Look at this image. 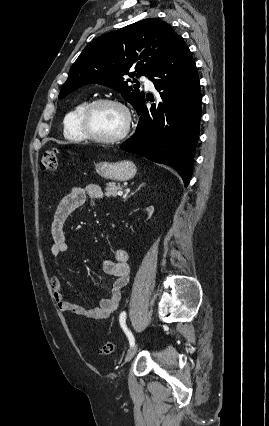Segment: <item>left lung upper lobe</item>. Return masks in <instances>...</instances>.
<instances>
[{
	"label": "left lung upper lobe",
	"mask_w": 269,
	"mask_h": 426,
	"mask_svg": "<svg viewBox=\"0 0 269 426\" xmlns=\"http://www.w3.org/2000/svg\"><path fill=\"white\" fill-rule=\"evenodd\" d=\"M178 36L166 22L148 18L97 38L72 65L59 98L98 83L122 93L126 101L138 107L145 95L136 85H129L127 76H149Z\"/></svg>",
	"instance_id": "1"
}]
</instances>
